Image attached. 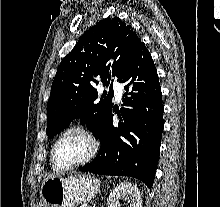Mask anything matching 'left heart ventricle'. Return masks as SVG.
<instances>
[{
    "label": "left heart ventricle",
    "instance_id": "1",
    "mask_svg": "<svg viewBox=\"0 0 220 207\" xmlns=\"http://www.w3.org/2000/svg\"><path fill=\"white\" fill-rule=\"evenodd\" d=\"M90 151L89 141L79 133H69L57 145L55 156L59 165L76 163L87 156Z\"/></svg>",
    "mask_w": 220,
    "mask_h": 207
}]
</instances>
